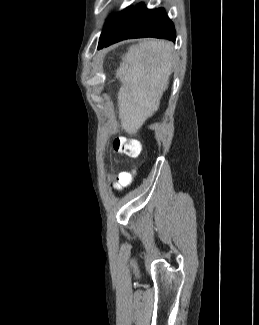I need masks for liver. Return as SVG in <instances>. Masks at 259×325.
Segmentation results:
<instances>
[{
	"mask_svg": "<svg viewBox=\"0 0 259 325\" xmlns=\"http://www.w3.org/2000/svg\"><path fill=\"white\" fill-rule=\"evenodd\" d=\"M172 52L170 43L150 39L130 46L122 56L116 71L122 83L118 110L122 128L128 134H136L159 109L172 72Z\"/></svg>",
	"mask_w": 259,
	"mask_h": 325,
	"instance_id": "6515ba94",
	"label": "liver"
}]
</instances>
